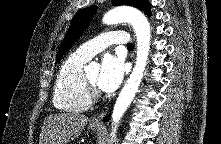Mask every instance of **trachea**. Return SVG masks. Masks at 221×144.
Masks as SVG:
<instances>
[{
  "label": "trachea",
  "instance_id": "obj_1",
  "mask_svg": "<svg viewBox=\"0 0 221 144\" xmlns=\"http://www.w3.org/2000/svg\"><path fill=\"white\" fill-rule=\"evenodd\" d=\"M127 48L133 50L134 46H133L132 43H128V44H127Z\"/></svg>",
  "mask_w": 221,
  "mask_h": 144
}]
</instances>
